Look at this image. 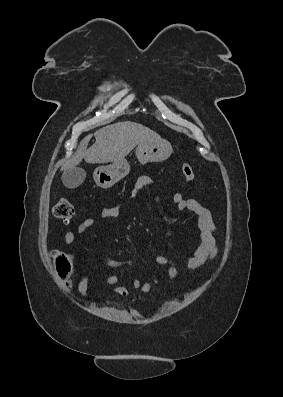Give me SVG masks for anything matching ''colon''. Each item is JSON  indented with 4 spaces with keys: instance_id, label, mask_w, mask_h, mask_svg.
I'll list each match as a JSON object with an SVG mask.
<instances>
[{
    "instance_id": "1",
    "label": "colon",
    "mask_w": 283,
    "mask_h": 397,
    "mask_svg": "<svg viewBox=\"0 0 283 397\" xmlns=\"http://www.w3.org/2000/svg\"><path fill=\"white\" fill-rule=\"evenodd\" d=\"M181 172L186 181L192 182L195 179L193 167L189 163H183L181 165ZM53 214L56 218L64 222H68L74 217L75 209L68 199H61L55 204ZM52 258L56 272L60 277L62 284L66 289H70L71 278L74 273L72 256L67 252L56 250L53 252Z\"/></svg>"
}]
</instances>
